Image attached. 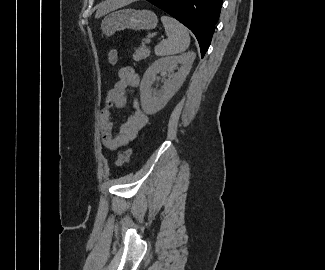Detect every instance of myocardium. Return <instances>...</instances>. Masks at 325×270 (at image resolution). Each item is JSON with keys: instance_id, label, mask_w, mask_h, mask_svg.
Masks as SVG:
<instances>
[{"instance_id": "1", "label": "myocardium", "mask_w": 325, "mask_h": 270, "mask_svg": "<svg viewBox=\"0 0 325 270\" xmlns=\"http://www.w3.org/2000/svg\"><path fill=\"white\" fill-rule=\"evenodd\" d=\"M126 1H136V0H126Z\"/></svg>"}]
</instances>
